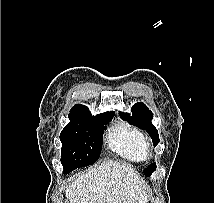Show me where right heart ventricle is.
<instances>
[{
	"label": "right heart ventricle",
	"mask_w": 214,
	"mask_h": 203,
	"mask_svg": "<svg viewBox=\"0 0 214 203\" xmlns=\"http://www.w3.org/2000/svg\"><path fill=\"white\" fill-rule=\"evenodd\" d=\"M107 141L109 148L126 160L132 162L145 160V136L140 130L128 123L116 124L110 131Z\"/></svg>",
	"instance_id": "obj_1"
}]
</instances>
